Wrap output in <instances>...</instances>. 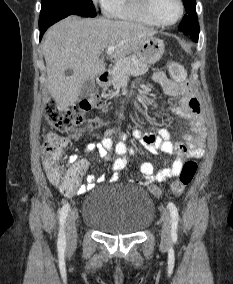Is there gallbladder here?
<instances>
[{"label": "gallbladder", "instance_id": "obj_1", "mask_svg": "<svg viewBox=\"0 0 233 284\" xmlns=\"http://www.w3.org/2000/svg\"><path fill=\"white\" fill-rule=\"evenodd\" d=\"M96 84L94 79H87L84 81L79 96L81 98H86L90 95H92L95 92Z\"/></svg>", "mask_w": 233, "mask_h": 284}]
</instances>
